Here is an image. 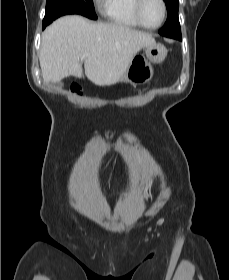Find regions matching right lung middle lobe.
<instances>
[{
    "label": "right lung middle lobe",
    "instance_id": "1",
    "mask_svg": "<svg viewBox=\"0 0 229 280\" xmlns=\"http://www.w3.org/2000/svg\"><path fill=\"white\" fill-rule=\"evenodd\" d=\"M65 14H80L90 19H97L93 0H46L44 23L48 25Z\"/></svg>",
    "mask_w": 229,
    "mask_h": 280
}]
</instances>
